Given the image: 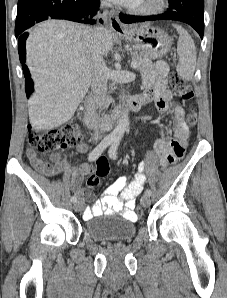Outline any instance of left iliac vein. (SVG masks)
<instances>
[{
  "label": "left iliac vein",
  "instance_id": "obj_1",
  "mask_svg": "<svg viewBox=\"0 0 227 298\" xmlns=\"http://www.w3.org/2000/svg\"><path fill=\"white\" fill-rule=\"evenodd\" d=\"M151 201H150V196L148 195H144L142 198H141V204L143 207H149Z\"/></svg>",
  "mask_w": 227,
  "mask_h": 298
}]
</instances>
